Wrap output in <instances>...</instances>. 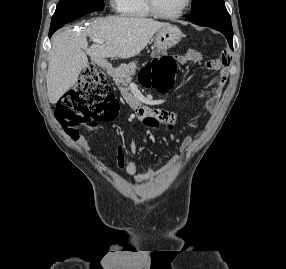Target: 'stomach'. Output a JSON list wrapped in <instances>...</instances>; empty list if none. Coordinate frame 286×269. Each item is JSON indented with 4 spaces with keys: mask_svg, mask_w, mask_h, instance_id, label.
Listing matches in <instances>:
<instances>
[{
    "mask_svg": "<svg viewBox=\"0 0 286 269\" xmlns=\"http://www.w3.org/2000/svg\"><path fill=\"white\" fill-rule=\"evenodd\" d=\"M181 39V30L175 25L168 24L155 33L154 47L156 49L168 50L176 46L181 41Z\"/></svg>",
    "mask_w": 286,
    "mask_h": 269,
    "instance_id": "0dacf381",
    "label": "stomach"
}]
</instances>
